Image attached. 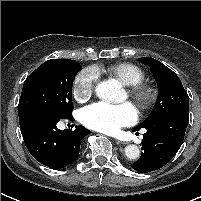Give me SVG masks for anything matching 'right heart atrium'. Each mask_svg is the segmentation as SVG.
Returning a JSON list of instances; mask_svg holds the SVG:
<instances>
[{
  "mask_svg": "<svg viewBox=\"0 0 201 201\" xmlns=\"http://www.w3.org/2000/svg\"><path fill=\"white\" fill-rule=\"evenodd\" d=\"M99 78L94 67H87L78 73L73 84V96L77 101L84 102L91 98Z\"/></svg>",
  "mask_w": 201,
  "mask_h": 201,
  "instance_id": "d8ad5b80",
  "label": "right heart atrium"
}]
</instances>
